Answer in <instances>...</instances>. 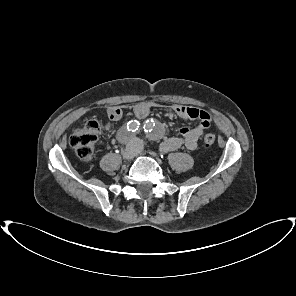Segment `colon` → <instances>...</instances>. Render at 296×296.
<instances>
[{"instance_id": "5ec220e1", "label": "colon", "mask_w": 296, "mask_h": 296, "mask_svg": "<svg viewBox=\"0 0 296 296\" xmlns=\"http://www.w3.org/2000/svg\"><path fill=\"white\" fill-rule=\"evenodd\" d=\"M99 131L96 121H88L70 135L69 145L81 160L90 161L93 159ZM215 140V135L209 133L204 136L203 143L209 147L215 143Z\"/></svg>"}]
</instances>
